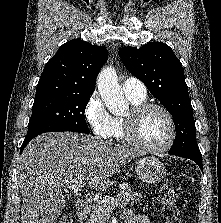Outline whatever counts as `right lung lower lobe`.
I'll use <instances>...</instances> for the list:
<instances>
[{"mask_svg": "<svg viewBox=\"0 0 221 223\" xmlns=\"http://www.w3.org/2000/svg\"><path fill=\"white\" fill-rule=\"evenodd\" d=\"M36 137V136H35ZM34 137H31V138H25L24 139V142L21 146V149H20V153L23 151V149L25 148V146L33 139Z\"/></svg>", "mask_w": 221, "mask_h": 223, "instance_id": "right-lung-lower-lobe-1", "label": "right lung lower lobe"}]
</instances>
